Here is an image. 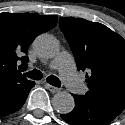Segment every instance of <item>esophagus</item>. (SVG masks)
<instances>
[{
	"mask_svg": "<svg viewBox=\"0 0 125 125\" xmlns=\"http://www.w3.org/2000/svg\"><path fill=\"white\" fill-rule=\"evenodd\" d=\"M46 87H47V89H48L51 93H57V92L60 91L59 88L54 87V86H52V85H50V84H46Z\"/></svg>",
	"mask_w": 125,
	"mask_h": 125,
	"instance_id": "34e87169",
	"label": "esophagus"
}]
</instances>
